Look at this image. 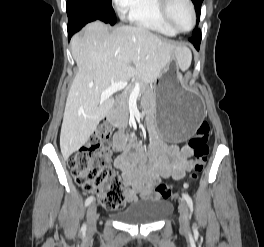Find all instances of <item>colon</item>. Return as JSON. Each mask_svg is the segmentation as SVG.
<instances>
[{
	"instance_id": "obj_1",
	"label": "colon",
	"mask_w": 264,
	"mask_h": 247,
	"mask_svg": "<svg viewBox=\"0 0 264 247\" xmlns=\"http://www.w3.org/2000/svg\"><path fill=\"white\" fill-rule=\"evenodd\" d=\"M209 132V124L202 122L188 143L194 154L192 179H196L204 169L209 153ZM110 134L109 124L100 125L86 144L71 155L68 165L76 183L84 192L95 193L103 208L120 210L126 203L124 185L120 177L108 168L111 156ZM156 193L161 198H169L172 195L167 184H159Z\"/></svg>"
}]
</instances>
